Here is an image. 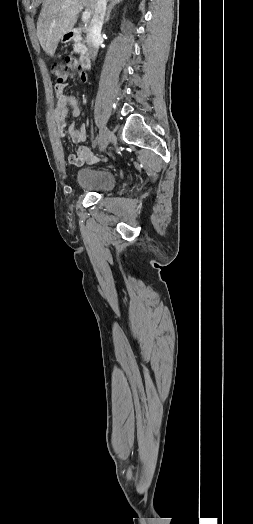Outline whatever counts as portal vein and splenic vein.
Returning a JSON list of instances; mask_svg holds the SVG:
<instances>
[{"instance_id": "18ae733b", "label": "portal vein and splenic vein", "mask_w": 253, "mask_h": 524, "mask_svg": "<svg viewBox=\"0 0 253 524\" xmlns=\"http://www.w3.org/2000/svg\"><path fill=\"white\" fill-rule=\"evenodd\" d=\"M72 5L77 6L80 10L82 9V6L77 2H74ZM90 16H91L90 11L85 10L82 14V21L87 22L90 19Z\"/></svg>"}]
</instances>
